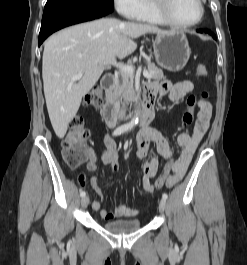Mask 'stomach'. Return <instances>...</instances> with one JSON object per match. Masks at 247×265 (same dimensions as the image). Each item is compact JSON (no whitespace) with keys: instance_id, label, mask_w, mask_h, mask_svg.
Returning a JSON list of instances; mask_svg holds the SVG:
<instances>
[{"instance_id":"0dacf381","label":"stomach","mask_w":247,"mask_h":265,"mask_svg":"<svg viewBox=\"0 0 247 265\" xmlns=\"http://www.w3.org/2000/svg\"><path fill=\"white\" fill-rule=\"evenodd\" d=\"M153 48L157 64L171 72L182 70L191 54L186 35L179 31L158 34L153 40Z\"/></svg>"}]
</instances>
